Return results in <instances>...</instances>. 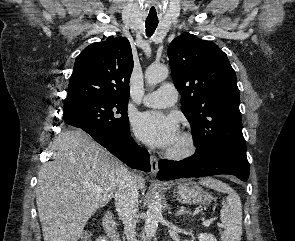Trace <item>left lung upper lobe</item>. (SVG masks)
Here are the masks:
<instances>
[{
	"label": "left lung upper lobe",
	"mask_w": 295,
	"mask_h": 241,
	"mask_svg": "<svg viewBox=\"0 0 295 241\" xmlns=\"http://www.w3.org/2000/svg\"><path fill=\"white\" fill-rule=\"evenodd\" d=\"M167 53L196 154L224 151L246 158L240 92L226 54L193 34L175 38Z\"/></svg>",
	"instance_id": "left-lung-upper-lobe-1"
}]
</instances>
